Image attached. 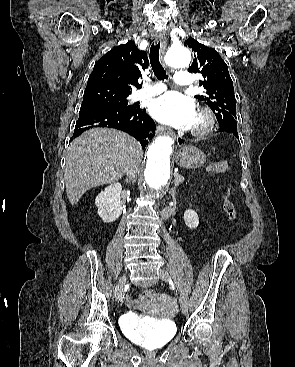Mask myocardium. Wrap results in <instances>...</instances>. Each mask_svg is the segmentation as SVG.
Segmentation results:
<instances>
[{
	"instance_id": "1",
	"label": "myocardium",
	"mask_w": 295,
	"mask_h": 367,
	"mask_svg": "<svg viewBox=\"0 0 295 367\" xmlns=\"http://www.w3.org/2000/svg\"><path fill=\"white\" fill-rule=\"evenodd\" d=\"M195 124L190 127V134L197 138L208 136L215 127V118L208 109H200L195 116Z\"/></svg>"
}]
</instances>
